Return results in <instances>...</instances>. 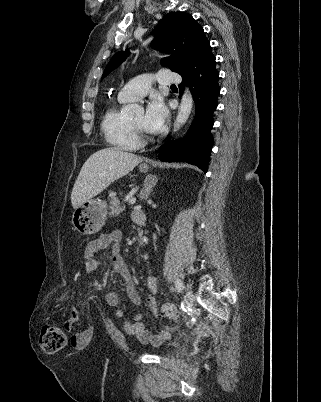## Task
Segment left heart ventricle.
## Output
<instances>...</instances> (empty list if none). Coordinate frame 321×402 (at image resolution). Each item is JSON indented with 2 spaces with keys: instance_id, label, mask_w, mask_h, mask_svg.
I'll list each match as a JSON object with an SVG mask.
<instances>
[{
  "instance_id": "b2bd125f",
  "label": "left heart ventricle",
  "mask_w": 321,
  "mask_h": 402,
  "mask_svg": "<svg viewBox=\"0 0 321 402\" xmlns=\"http://www.w3.org/2000/svg\"><path fill=\"white\" fill-rule=\"evenodd\" d=\"M130 121L134 124V126H136L137 128L143 130L144 132H147L144 129L143 126V121H144V114L141 112L139 114H136L135 116H133Z\"/></svg>"
}]
</instances>
